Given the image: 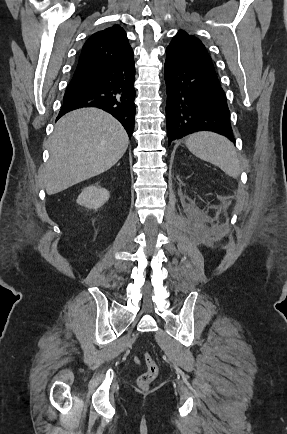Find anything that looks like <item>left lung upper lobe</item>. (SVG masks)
<instances>
[{"mask_svg": "<svg viewBox=\"0 0 287 434\" xmlns=\"http://www.w3.org/2000/svg\"><path fill=\"white\" fill-rule=\"evenodd\" d=\"M166 54L214 67L203 43L194 36H189L185 31H179L174 36L166 49Z\"/></svg>", "mask_w": 287, "mask_h": 434, "instance_id": "obj_1", "label": "left lung upper lobe"}]
</instances>
